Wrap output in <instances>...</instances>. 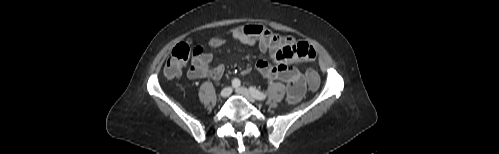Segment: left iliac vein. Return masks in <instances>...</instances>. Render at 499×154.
I'll list each match as a JSON object with an SVG mask.
<instances>
[{
	"label": "left iliac vein",
	"instance_id": "1",
	"mask_svg": "<svg viewBox=\"0 0 499 154\" xmlns=\"http://www.w3.org/2000/svg\"><path fill=\"white\" fill-rule=\"evenodd\" d=\"M235 91H236L237 94L245 97L249 102L254 103L256 101V98L245 87H239Z\"/></svg>",
	"mask_w": 499,
	"mask_h": 154
}]
</instances>
